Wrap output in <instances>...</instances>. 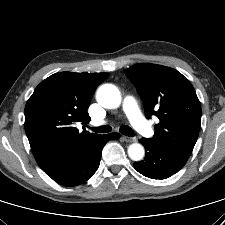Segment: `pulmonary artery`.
Returning a JSON list of instances; mask_svg holds the SVG:
<instances>
[{
	"instance_id": "obj_1",
	"label": "pulmonary artery",
	"mask_w": 225,
	"mask_h": 225,
	"mask_svg": "<svg viewBox=\"0 0 225 225\" xmlns=\"http://www.w3.org/2000/svg\"><path fill=\"white\" fill-rule=\"evenodd\" d=\"M123 109L134 128L145 137H151L153 130L143 117L136 100L133 96L127 95L123 100Z\"/></svg>"
}]
</instances>
